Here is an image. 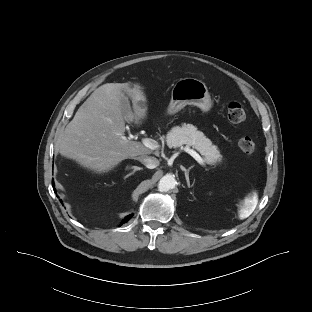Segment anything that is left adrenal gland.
<instances>
[{
    "instance_id": "left-adrenal-gland-1",
    "label": "left adrenal gland",
    "mask_w": 312,
    "mask_h": 312,
    "mask_svg": "<svg viewBox=\"0 0 312 312\" xmlns=\"http://www.w3.org/2000/svg\"><path fill=\"white\" fill-rule=\"evenodd\" d=\"M192 167H193V166H191V167H189L188 169H186L185 167L181 166L182 171H184V173H185V178H186L188 187H190L189 171L191 170Z\"/></svg>"
}]
</instances>
